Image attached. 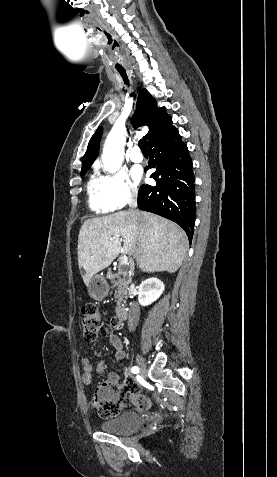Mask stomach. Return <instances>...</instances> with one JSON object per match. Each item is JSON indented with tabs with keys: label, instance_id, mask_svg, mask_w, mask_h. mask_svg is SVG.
Segmentation results:
<instances>
[{
	"label": "stomach",
	"instance_id": "stomach-1",
	"mask_svg": "<svg viewBox=\"0 0 277 477\" xmlns=\"http://www.w3.org/2000/svg\"><path fill=\"white\" fill-rule=\"evenodd\" d=\"M109 293V285L103 275H95L88 285V294L95 300L105 298Z\"/></svg>",
	"mask_w": 277,
	"mask_h": 477
}]
</instances>
